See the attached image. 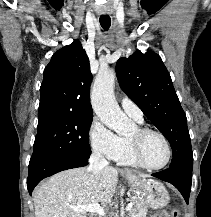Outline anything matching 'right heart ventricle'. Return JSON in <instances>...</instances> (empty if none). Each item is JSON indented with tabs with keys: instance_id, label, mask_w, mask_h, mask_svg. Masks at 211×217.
Returning <instances> with one entry per match:
<instances>
[{
	"instance_id": "e07e8e85",
	"label": "right heart ventricle",
	"mask_w": 211,
	"mask_h": 217,
	"mask_svg": "<svg viewBox=\"0 0 211 217\" xmlns=\"http://www.w3.org/2000/svg\"><path fill=\"white\" fill-rule=\"evenodd\" d=\"M136 122L140 125H142L143 123V121H138V120H136ZM121 140H122L121 149L114 160L119 165L132 166V167L138 166V164L135 162L131 154L129 138L124 137V138H121Z\"/></svg>"
}]
</instances>
